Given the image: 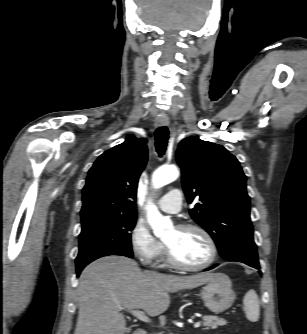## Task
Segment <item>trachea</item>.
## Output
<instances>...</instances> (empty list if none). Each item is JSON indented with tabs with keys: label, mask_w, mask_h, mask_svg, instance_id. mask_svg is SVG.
I'll return each instance as SVG.
<instances>
[{
	"label": "trachea",
	"mask_w": 307,
	"mask_h": 334,
	"mask_svg": "<svg viewBox=\"0 0 307 334\" xmlns=\"http://www.w3.org/2000/svg\"><path fill=\"white\" fill-rule=\"evenodd\" d=\"M169 138V131L166 126H162L156 129L155 131V147L156 151L159 154V156H163L166 147H167V142Z\"/></svg>",
	"instance_id": "3493384b"
}]
</instances>
